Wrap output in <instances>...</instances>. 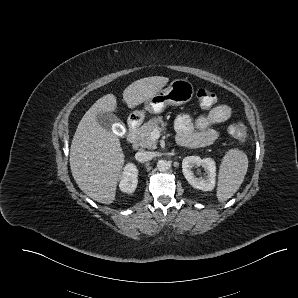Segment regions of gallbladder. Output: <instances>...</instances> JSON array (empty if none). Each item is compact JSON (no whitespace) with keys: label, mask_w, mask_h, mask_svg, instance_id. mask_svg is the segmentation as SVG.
I'll return each mask as SVG.
<instances>
[{"label":"gallbladder","mask_w":298,"mask_h":298,"mask_svg":"<svg viewBox=\"0 0 298 298\" xmlns=\"http://www.w3.org/2000/svg\"><path fill=\"white\" fill-rule=\"evenodd\" d=\"M96 119L99 125L108 131H112L113 126L120 123L119 117L110 111L98 112Z\"/></svg>","instance_id":"bac80fb5"}]
</instances>
